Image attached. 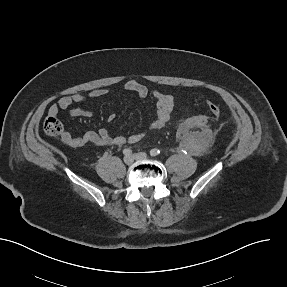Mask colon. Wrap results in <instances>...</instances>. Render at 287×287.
<instances>
[{"label": "colon", "mask_w": 287, "mask_h": 287, "mask_svg": "<svg viewBox=\"0 0 287 287\" xmlns=\"http://www.w3.org/2000/svg\"><path fill=\"white\" fill-rule=\"evenodd\" d=\"M209 112L213 116H219L221 113L220 106L215 102H208L207 104ZM44 132L50 137H58L63 132V125L61 121L55 116L50 115L48 116L43 124Z\"/></svg>", "instance_id": "1"}]
</instances>
